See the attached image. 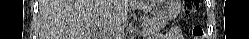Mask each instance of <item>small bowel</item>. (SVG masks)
<instances>
[{
  "label": "small bowel",
  "mask_w": 249,
  "mask_h": 39,
  "mask_svg": "<svg viewBox=\"0 0 249 39\" xmlns=\"http://www.w3.org/2000/svg\"><path fill=\"white\" fill-rule=\"evenodd\" d=\"M168 38H176L180 35V31L177 28H172L166 33Z\"/></svg>",
  "instance_id": "c3829d8e"
}]
</instances>
